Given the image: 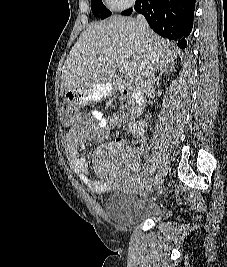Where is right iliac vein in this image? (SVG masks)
<instances>
[{
    "mask_svg": "<svg viewBox=\"0 0 227 267\" xmlns=\"http://www.w3.org/2000/svg\"><path fill=\"white\" fill-rule=\"evenodd\" d=\"M163 181H164L163 175H159V177L154 181V188H155V190L160 189Z\"/></svg>",
    "mask_w": 227,
    "mask_h": 267,
    "instance_id": "1",
    "label": "right iliac vein"
}]
</instances>
